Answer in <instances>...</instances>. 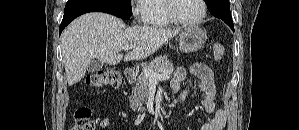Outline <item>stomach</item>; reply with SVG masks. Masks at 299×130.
Returning <instances> with one entry per match:
<instances>
[{"label":"stomach","instance_id":"stomach-1","mask_svg":"<svg viewBox=\"0 0 299 130\" xmlns=\"http://www.w3.org/2000/svg\"><path fill=\"white\" fill-rule=\"evenodd\" d=\"M207 40L205 31L198 27H188L179 35V50L183 53L195 52L203 47Z\"/></svg>","mask_w":299,"mask_h":130}]
</instances>
